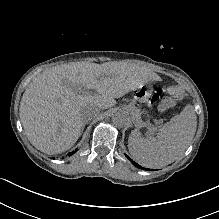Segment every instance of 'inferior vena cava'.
I'll use <instances>...</instances> for the list:
<instances>
[{"mask_svg":"<svg viewBox=\"0 0 219 219\" xmlns=\"http://www.w3.org/2000/svg\"><path fill=\"white\" fill-rule=\"evenodd\" d=\"M99 115V109L94 106L83 108L80 113L81 119L86 122L97 120Z\"/></svg>","mask_w":219,"mask_h":219,"instance_id":"inferior-vena-cava-1","label":"inferior vena cava"}]
</instances>
